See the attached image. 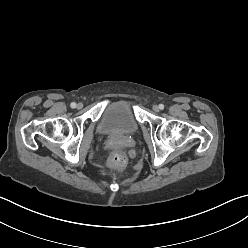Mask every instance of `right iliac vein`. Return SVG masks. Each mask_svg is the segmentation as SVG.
<instances>
[{
  "label": "right iliac vein",
  "mask_w": 248,
  "mask_h": 248,
  "mask_svg": "<svg viewBox=\"0 0 248 248\" xmlns=\"http://www.w3.org/2000/svg\"><path fill=\"white\" fill-rule=\"evenodd\" d=\"M82 107H83V104H82V103H78V104H77V108H78V109H81Z\"/></svg>",
  "instance_id": "right-iliac-vein-1"
}]
</instances>
